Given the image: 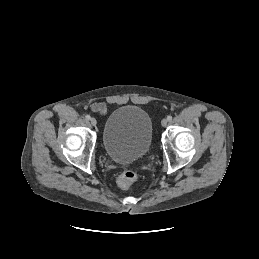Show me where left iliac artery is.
Here are the masks:
<instances>
[{
  "label": "left iliac artery",
  "instance_id": "obj_1",
  "mask_svg": "<svg viewBox=\"0 0 259 259\" xmlns=\"http://www.w3.org/2000/svg\"><path fill=\"white\" fill-rule=\"evenodd\" d=\"M167 120H168V121H171V120H172V116L169 115V116L167 117Z\"/></svg>",
  "mask_w": 259,
  "mask_h": 259
}]
</instances>
